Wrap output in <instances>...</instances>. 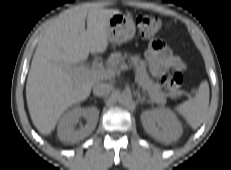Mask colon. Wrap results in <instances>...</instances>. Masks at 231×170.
Instances as JSON below:
<instances>
[{
	"label": "colon",
	"mask_w": 231,
	"mask_h": 170,
	"mask_svg": "<svg viewBox=\"0 0 231 170\" xmlns=\"http://www.w3.org/2000/svg\"><path fill=\"white\" fill-rule=\"evenodd\" d=\"M136 25L139 33L144 37H152L161 29L159 18L151 15H140L136 19ZM163 85L166 90L175 97L186 95L183 84L184 79L181 73L176 72L163 78Z\"/></svg>",
	"instance_id": "colon-1"
}]
</instances>
